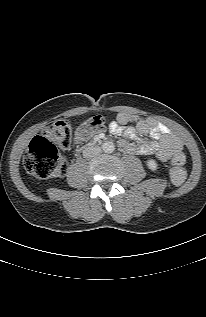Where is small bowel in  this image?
<instances>
[{
	"mask_svg": "<svg viewBox=\"0 0 206 317\" xmlns=\"http://www.w3.org/2000/svg\"><path fill=\"white\" fill-rule=\"evenodd\" d=\"M109 130L114 135L127 138L149 135L152 140L148 142L134 144L122 140L120 144L131 154L154 155L161 162L181 153L183 147L180 138L173 135L165 125L129 112L118 113L116 120L110 123Z\"/></svg>",
	"mask_w": 206,
	"mask_h": 317,
	"instance_id": "c3829d8e",
	"label": "small bowel"
}]
</instances>
